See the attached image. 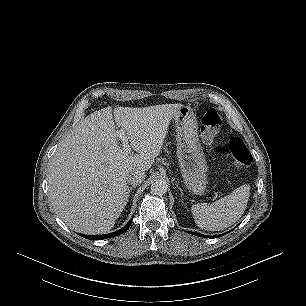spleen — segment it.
<instances>
[{
    "mask_svg": "<svg viewBox=\"0 0 306 306\" xmlns=\"http://www.w3.org/2000/svg\"><path fill=\"white\" fill-rule=\"evenodd\" d=\"M250 195V185H242L214 204L201 203L191 207L196 225L204 230L219 231L230 227L243 215Z\"/></svg>",
    "mask_w": 306,
    "mask_h": 306,
    "instance_id": "spleen-1",
    "label": "spleen"
}]
</instances>
